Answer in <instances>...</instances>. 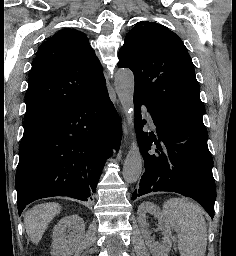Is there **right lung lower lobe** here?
I'll list each match as a JSON object with an SVG mask.
<instances>
[{
    "label": "right lung lower lobe",
    "instance_id": "98d812e1",
    "mask_svg": "<svg viewBox=\"0 0 236 256\" xmlns=\"http://www.w3.org/2000/svg\"><path fill=\"white\" fill-rule=\"evenodd\" d=\"M121 137V122L107 89L24 134L16 172L19 215L41 198L87 201Z\"/></svg>",
    "mask_w": 236,
    "mask_h": 256
}]
</instances>
